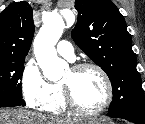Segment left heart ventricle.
<instances>
[{"label": "left heart ventricle", "mask_w": 145, "mask_h": 124, "mask_svg": "<svg viewBox=\"0 0 145 124\" xmlns=\"http://www.w3.org/2000/svg\"><path fill=\"white\" fill-rule=\"evenodd\" d=\"M61 82L70 86L76 102L86 110L97 109L105 99L104 81L93 69L78 73L69 70Z\"/></svg>", "instance_id": "obj_1"}]
</instances>
